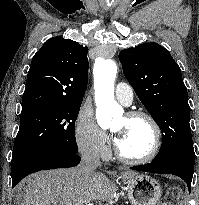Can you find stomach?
<instances>
[{"mask_svg": "<svg viewBox=\"0 0 199 205\" xmlns=\"http://www.w3.org/2000/svg\"><path fill=\"white\" fill-rule=\"evenodd\" d=\"M128 198L132 205H159L162 187L148 175H137L127 181Z\"/></svg>", "mask_w": 199, "mask_h": 205, "instance_id": "stomach-1", "label": "stomach"}]
</instances>
